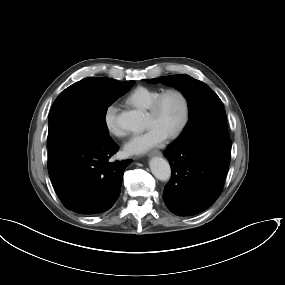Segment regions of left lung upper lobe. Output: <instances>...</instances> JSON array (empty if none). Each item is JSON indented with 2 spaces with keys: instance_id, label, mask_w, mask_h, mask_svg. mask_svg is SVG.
Here are the masks:
<instances>
[{
  "instance_id": "1",
  "label": "left lung upper lobe",
  "mask_w": 285,
  "mask_h": 285,
  "mask_svg": "<svg viewBox=\"0 0 285 285\" xmlns=\"http://www.w3.org/2000/svg\"><path fill=\"white\" fill-rule=\"evenodd\" d=\"M173 85L187 98L189 121L182 134L169 146L177 147L204 137L229 139L225 110L220 98L202 81L188 75H171L148 80Z\"/></svg>"
}]
</instances>
